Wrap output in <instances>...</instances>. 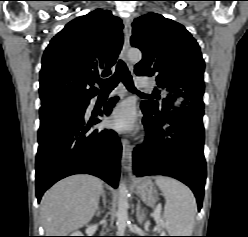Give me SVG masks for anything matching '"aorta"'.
I'll return each instance as SVG.
<instances>
[{"label": "aorta", "mask_w": 248, "mask_h": 237, "mask_svg": "<svg viewBox=\"0 0 248 237\" xmlns=\"http://www.w3.org/2000/svg\"><path fill=\"white\" fill-rule=\"evenodd\" d=\"M128 59L137 63L142 58V53L138 49H131L127 54ZM128 190L125 181L121 180L119 184V200L118 210L116 212L117 225L121 230H124L128 221Z\"/></svg>", "instance_id": "obj_1"}]
</instances>
